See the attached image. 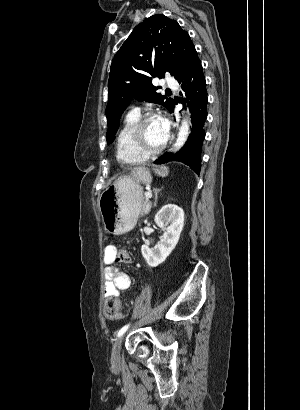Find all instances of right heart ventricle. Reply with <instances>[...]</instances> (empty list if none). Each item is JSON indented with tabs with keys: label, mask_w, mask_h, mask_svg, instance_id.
Wrapping results in <instances>:
<instances>
[{
	"label": "right heart ventricle",
	"mask_w": 300,
	"mask_h": 410,
	"mask_svg": "<svg viewBox=\"0 0 300 410\" xmlns=\"http://www.w3.org/2000/svg\"><path fill=\"white\" fill-rule=\"evenodd\" d=\"M140 113L130 111L125 116L116 138V155L122 163L141 164L147 160V156L138 152L132 144L131 132L134 124L139 119Z\"/></svg>",
	"instance_id": "obj_1"
}]
</instances>
